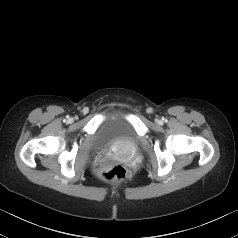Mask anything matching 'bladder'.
Masks as SVG:
<instances>
[{"label": "bladder", "mask_w": 238, "mask_h": 238, "mask_svg": "<svg viewBox=\"0 0 238 238\" xmlns=\"http://www.w3.org/2000/svg\"><path fill=\"white\" fill-rule=\"evenodd\" d=\"M138 134L129 111L121 106L110 108L98 124L93 135L96 149L107 150L114 146L135 144Z\"/></svg>", "instance_id": "obj_1"}]
</instances>
